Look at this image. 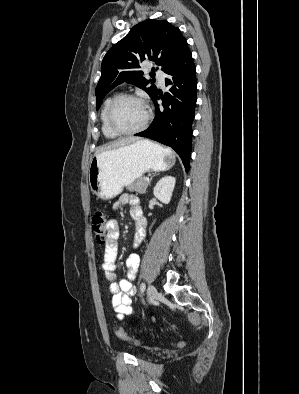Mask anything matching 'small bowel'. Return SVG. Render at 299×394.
<instances>
[{
	"instance_id": "obj_1",
	"label": "small bowel",
	"mask_w": 299,
	"mask_h": 394,
	"mask_svg": "<svg viewBox=\"0 0 299 394\" xmlns=\"http://www.w3.org/2000/svg\"><path fill=\"white\" fill-rule=\"evenodd\" d=\"M122 205H130V215L135 220L136 230L134 245L138 247L145 238L146 219L139 205V199L133 194H123L114 204V209ZM107 240L104 249L103 270L107 280L110 282L112 293V306L119 319H124L134 313L132 297L136 293L133 280L139 267V255L133 253L126 260L127 278L116 281V259L118 253L119 225L115 219H110L106 224Z\"/></svg>"
}]
</instances>
